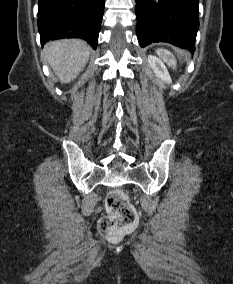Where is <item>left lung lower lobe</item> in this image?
Wrapping results in <instances>:
<instances>
[{
	"instance_id": "left-lung-lower-lobe-1",
	"label": "left lung lower lobe",
	"mask_w": 233,
	"mask_h": 284,
	"mask_svg": "<svg viewBox=\"0 0 233 284\" xmlns=\"http://www.w3.org/2000/svg\"><path fill=\"white\" fill-rule=\"evenodd\" d=\"M141 47L167 42L195 51L199 0H135Z\"/></svg>"
}]
</instances>
